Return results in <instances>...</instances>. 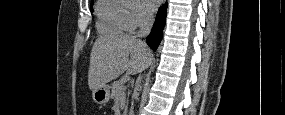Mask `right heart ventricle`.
Returning a JSON list of instances; mask_svg holds the SVG:
<instances>
[{
    "instance_id": "1",
    "label": "right heart ventricle",
    "mask_w": 285,
    "mask_h": 115,
    "mask_svg": "<svg viewBox=\"0 0 285 115\" xmlns=\"http://www.w3.org/2000/svg\"><path fill=\"white\" fill-rule=\"evenodd\" d=\"M96 11L100 35L112 37L129 31V12L118 1H100Z\"/></svg>"
}]
</instances>
